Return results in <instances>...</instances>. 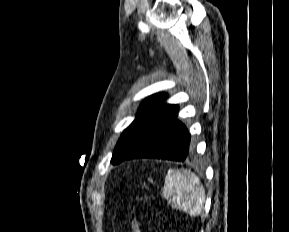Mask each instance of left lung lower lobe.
<instances>
[{
    "label": "left lung lower lobe",
    "instance_id": "0a47b994",
    "mask_svg": "<svg viewBox=\"0 0 289 232\" xmlns=\"http://www.w3.org/2000/svg\"><path fill=\"white\" fill-rule=\"evenodd\" d=\"M192 150L190 134L186 126L176 117L126 159L158 158L184 161L191 155Z\"/></svg>",
    "mask_w": 289,
    "mask_h": 232
}]
</instances>
